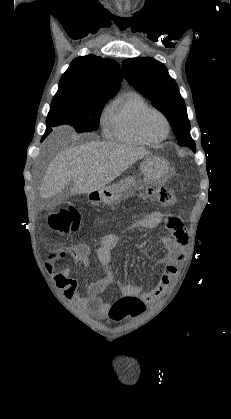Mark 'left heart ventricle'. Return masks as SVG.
<instances>
[{
    "label": "left heart ventricle",
    "mask_w": 231,
    "mask_h": 419,
    "mask_svg": "<svg viewBox=\"0 0 231 419\" xmlns=\"http://www.w3.org/2000/svg\"><path fill=\"white\" fill-rule=\"evenodd\" d=\"M145 132L153 139L162 137L166 132V125L162 117L157 113H150L144 122Z\"/></svg>",
    "instance_id": "1"
}]
</instances>
